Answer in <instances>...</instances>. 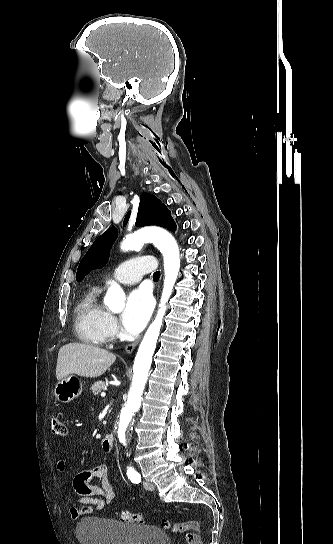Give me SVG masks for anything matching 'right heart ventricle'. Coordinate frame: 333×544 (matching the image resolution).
<instances>
[{
  "instance_id": "e07e8e85",
  "label": "right heart ventricle",
  "mask_w": 333,
  "mask_h": 544,
  "mask_svg": "<svg viewBox=\"0 0 333 544\" xmlns=\"http://www.w3.org/2000/svg\"><path fill=\"white\" fill-rule=\"evenodd\" d=\"M100 290H90L76 308V331L79 338L90 344L102 345L108 339L106 322L109 313L99 301Z\"/></svg>"
}]
</instances>
